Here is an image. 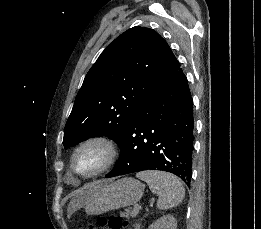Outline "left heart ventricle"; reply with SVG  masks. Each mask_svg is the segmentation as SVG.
I'll return each mask as SVG.
<instances>
[{
  "instance_id": "1",
  "label": "left heart ventricle",
  "mask_w": 261,
  "mask_h": 229,
  "mask_svg": "<svg viewBox=\"0 0 261 229\" xmlns=\"http://www.w3.org/2000/svg\"><path fill=\"white\" fill-rule=\"evenodd\" d=\"M104 154L98 147L92 146L81 151L76 159V166L86 172L96 170L103 162Z\"/></svg>"
}]
</instances>
